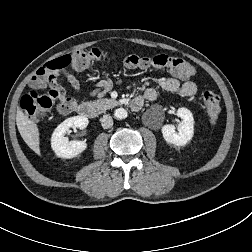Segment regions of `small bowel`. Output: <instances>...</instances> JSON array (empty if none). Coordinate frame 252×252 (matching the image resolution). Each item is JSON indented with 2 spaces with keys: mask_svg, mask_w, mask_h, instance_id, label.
<instances>
[{
  "mask_svg": "<svg viewBox=\"0 0 252 252\" xmlns=\"http://www.w3.org/2000/svg\"><path fill=\"white\" fill-rule=\"evenodd\" d=\"M64 78L76 92L81 91L80 81L75 75L66 72L64 73ZM157 83L163 90L171 93H177L183 97L193 96L197 92L196 83L190 80L180 82L175 77L161 76L157 79ZM112 85V81L102 79L96 83L95 89L92 91V95L101 96L109 91ZM156 97L157 92L153 88H146L142 96H140V98H142L143 100H154L156 99ZM75 106L76 103L73 99L66 98L65 102L58 103V110L63 114H67L71 112L75 108Z\"/></svg>",
  "mask_w": 252,
  "mask_h": 252,
  "instance_id": "small-bowel-1",
  "label": "small bowel"
}]
</instances>
